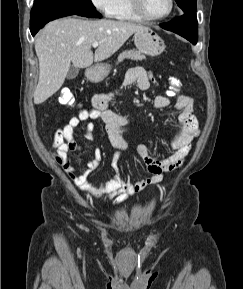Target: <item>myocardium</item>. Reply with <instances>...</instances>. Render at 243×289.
<instances>
[{
	"label": "myocardium",
	"mask_w": 243,
	"mask_h": 289,
	"mask_svg": "<svg viewBox=\"0 0 243 289\" xmlns=\"http://www.w3.org/2000/svg\"><path fill=\"white\" fill-rule=\"evenodd\" d=\"M131 5L135 13L140 16L143 20L147 21H159L169 17L175 7V0H170L168 11L161 16H150L146 13L143 5V0H131Z\"/></svg>",
	"instance_id": "f54148a6"
}]
</instances>
